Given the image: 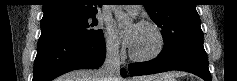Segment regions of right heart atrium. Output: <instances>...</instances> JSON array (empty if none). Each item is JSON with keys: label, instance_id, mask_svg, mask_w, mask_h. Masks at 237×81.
I'll return each mask as SVG.
<instances>
[{"label": "right heart atrium", "instance_id": "d8ad5b80", "mask_svg": "<svg viewBox=\"0 0 237 81\" xmlns=\"http://www.w3.org/2000/svg\"><path fill=\"white\" fill-rule=\"evenodd\" d=\"M106 50L112 57H120L122 54V47L118 39L109 29L106 33Z\"/></svg>", "mask_w": 237, "mask_h": 81}]
</instances>
